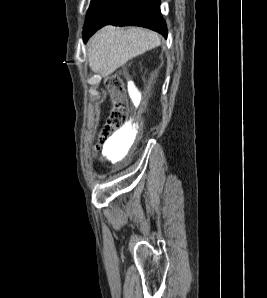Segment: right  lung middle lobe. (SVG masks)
I'll use <instances>...</instances> for the list:
<instances>
[{
    "label": "right lung middle lobe",
    "mask_w": 267,
    "mask_h": 298,
    "mask_svg": "<svg viewBox=\"0 0 267 298\" xmlns=\"http://www.w3.org/2000/svg\"><path fill=\"white\" fill-rule=\"evenodd\" d=\"M107 1L108 0H91L85 23L91 22Z\"/></svg>",
    "instance_id": "dd1d6c3e"
}]
</instances>
